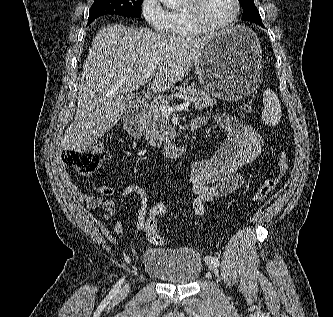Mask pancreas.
<instances>
[{"mask_svg":"<svg viewBox=\"0 0 333 317\" xmlns=\"http://www.w3.org/2000/svg\"><path fill=\"white\" fill-rule=\"evenodd\" d=\"M179 94L184 96H193L196 98L194 106L198 110L213 106L216 101L208 92L203 89H196L194 86H181L175 88ZM173 96H162L160 102L152 104L147 116V126L144 130L146 138H151V142L157 145L168 143L175 138V130L169 125L168 121L163 119V114L160 111V105L166 104L172 100Z\"/></svg>","mask_w":333,"mask_h":317,"instance_id":"1","label":"pancreas"}]
</instances>
